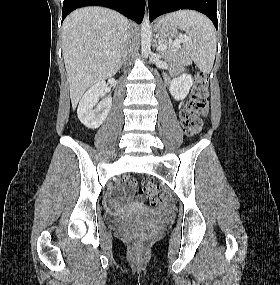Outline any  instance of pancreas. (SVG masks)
I'll return each instance as SVG.
<instances>
[{
  "instance_id": "1",
  "label": "pancreas",
  "mask_w": 280,
  "mask_h": 285,
  "mask_svg": "<svg viewBox=\"0 0 280 285\" xmlns=\"http://www.w3.org/2000/svg\"><path fill=\"white\" fill-rule=\"evenodd\" d=\"M160 42L162 45L167 46V49L162 51V55L165 59L169 61H178L184 64H189L191 62L186 49H182L181 47H173L170 45L172 41H168L166 39L161 38Z\"/></svg>"
}]
</instances>
